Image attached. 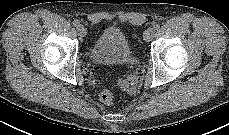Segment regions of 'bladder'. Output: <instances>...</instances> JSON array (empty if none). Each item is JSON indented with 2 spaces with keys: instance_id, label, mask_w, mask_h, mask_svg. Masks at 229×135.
<instances>
[{
  "instance_id": "31cf9c89",
  "label": "bladder",
  "mask_w": 229,
  "mask_h": 135,
  "mask_svg": "<svg viewBox=\"0 0 229 135\" xmlns=\"http://www.w3.org/2000/svg\"><path fill=\"white\" fill-rule=\"evenodd\" d=\"M131 57L130 44L117 26L104 28L89 51V58L95 64L117 65L128 62Z\"/></svg>"
}]
</instances>
